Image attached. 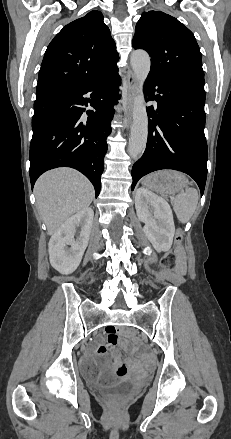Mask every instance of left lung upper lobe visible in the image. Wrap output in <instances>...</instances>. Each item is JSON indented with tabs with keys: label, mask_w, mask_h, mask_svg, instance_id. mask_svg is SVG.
I'll use <instances>...</instances> for the list:
<instances>
[{
	"label": "left lung upper lobe",
	"mask_w": 231,
	"mask_h": 439,
	"mask_svg": "<svg viewBox=\"0 0 231 439\" xmlns=\"http://www.w3.org/2000/svg\"><path fill=\"white\" fill-rule=\"evenodd\" d=\"M132 44L151 57L148 77L204 84L199 46L193 33L176 18L160 11L144 12Z\"/></svg>",
	"instance_id": "1"
}]
</instances>
